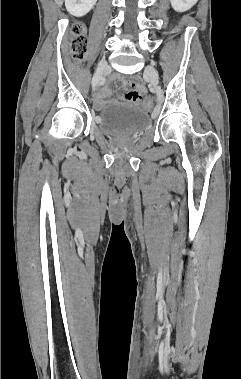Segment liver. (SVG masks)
Returning a JSON list of instances; mask_svg holds the SVG:
<instances>
[{"mask_svg": "<svg viewBox=\"0 0 241 379\" xmlns=\"http://www.w3.org/2000/svg\"><path fill=\"white\" fill-rule=\"evenodd\" d=\"M58 1H59V3H61L62 0H58Z\"/></svg>", "mask_w": 241, "mask_h": 379, "instance_id": "1", "label": "liver"}]
</instances>
